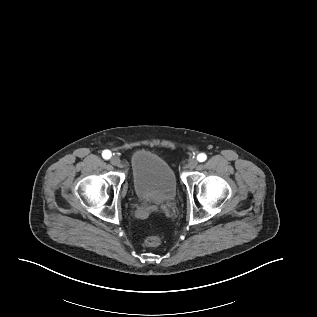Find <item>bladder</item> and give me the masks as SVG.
Returning <instances> with one entry per match:
<instances>
[{"label":"bladder","instance_id":"obj_1","mask_svg":"<svg viewBox=\"0 0 317 317\" xmlns=\"http://www.w3.org/2000/svg\"><path fill=\"white\" fill-rule=\"evenodd\" d=\"M131 180L134 192L142 203L162 205L176 196L175 173L168 162L156 154L147 151L133 154Z\"/></svg>","mask_w":317,"mask_h":317}]
</instances>
